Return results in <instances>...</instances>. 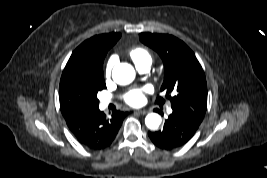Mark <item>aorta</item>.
I'll return each mask as SVG.
<instances>
[{
    "label": "aorta",
    "mask_w": 267,
    "mask_h": 178,
    "mask_svg": "<svg viewBox=\"0 0 267 178\" xmlns=\"http://www.w3.org/2000/svg\"><path fill=\"white\" fill-rule=\"evenodd\" d=\"M135 75L134 68L128 63H119L114 66L112 71L113 80L119 85L130 84L134 80ZM161 122V116L157 113H149L145 118V124L151 130L158 129Z\"/></svg>",
    "instance_id": "obj_1"
}]
</instances>
